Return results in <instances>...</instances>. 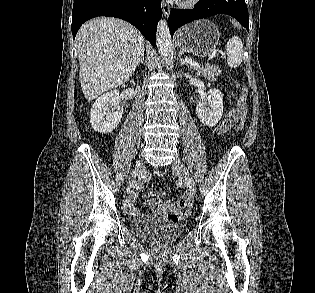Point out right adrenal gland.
<instances>
[{
  "mask_svg": "<svg viewBox=\"0 0 315 293\" xmlns=\"http://www.w3.org/2000/svg\"><path fill=\"white\" fill-rule=\"evenodd\" d=\"M140 63H141V64L144 63V52H143L142 55H141V59H140L138 65H139Z\"/></svg>",
  "mask_w": 315,
  "mask_h": 293,
  "instance_id": "obj_1",
  "label": "right adrenal gland"
}]
</instances>
